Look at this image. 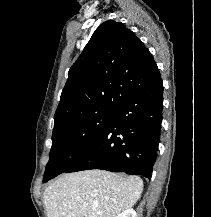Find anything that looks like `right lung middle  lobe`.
<instances>
[{
  "instance_id": "obj_1",
  "label": "right lung middle lobe",
  "mask_w": 211,
  "mask_h": 217,
  "mask_svg": "<svg viewBox=\"0 0 211 217\" xmlns=\"http://www.w3.org/2000/svg\"><path fill=\"white\" fill-rule=\"evenodd\" d=\"M114 116V110L94 111L55 126L43 182L65 172L77 162L101 138Z\"/></svg>"
}]
</instances>
